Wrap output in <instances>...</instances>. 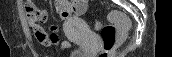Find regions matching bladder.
Segmentation results:
<instances>
[{"instance_id":"1","label":"bladder","mask_w":172,"mask_h":57,"mask_svg":"<svg viewBox=\"0 0 172 57\" xmlns=\"http://www.w3.org/2000/svg\"><path fill=\"white\" fill-rule=\"evenodd\" d=\"M72 57H83V56H72Z\"/></svg>"}]
</instances>
